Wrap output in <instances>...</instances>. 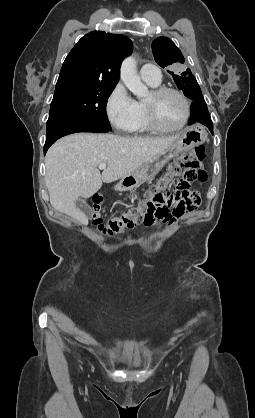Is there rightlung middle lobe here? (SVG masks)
Listing matches in <instances>:
<instances>
[{
  "label": "right lung middle lobe",
  "mask_w": 255,
  "mask_h": 418,
  "mask_svg": "<svg viewBox=\"0 0 255 418\" xmlns=\"http://www.w3.org/2000/svg\"><path fill=\"white\" fill-rule=\"evenodd\" d=\"M114 85L69 82L56 85L49 119L76 118L111 129L106 113Z\"/></svg>",
  "instance_id": "1"
}]
</instances>
